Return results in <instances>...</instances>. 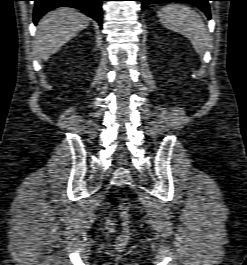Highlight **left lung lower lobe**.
Instances as JSON below:
<instances>
[{"instance_id": "0a47b994", "label": "left lung lower lobe", "mask_w": 247, "mask_h": 265, "mask_svg": "<svg viewBox=\"0 0 247 265\" xmlns=\"http://www.w3.org/2000/svg\"><path fill=\"white\" fill-rule=\"evenodd\" d=\"M142 1V9H145L147 5L153 3H165V2H184L197 6L201 9L208 18H210V9L208 1L212 0H139Z\"/></svg>"}]
</instances>
